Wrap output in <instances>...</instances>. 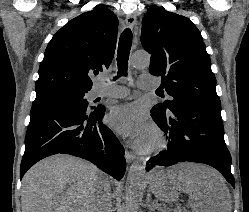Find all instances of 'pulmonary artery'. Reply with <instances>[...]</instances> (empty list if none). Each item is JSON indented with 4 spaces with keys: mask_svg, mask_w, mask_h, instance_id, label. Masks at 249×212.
I'll use <instances>...</instances> for the list:
<instances>
[{
    "mask_svg": "<svg viewBox=\"0 0 249 212\" xmlns=\"http://www.w3.org/2000/svg\"><path fill=\"white\" fill-rule=\"evenodd\" d=\"M144 77H146V75H142L138 79L139 88L142 90H148L157 86V84L153 82L148 84L143 83L142 79ZM128 93L129 90L126 87L112 83L105 75H99L97 77V82L90 91V96L92 99L97 97L122 98L126 97Z\"/></svg>",
    "mask_w": 249,
    "mask_h": 212,
    "instance_id": "pulmonary-artery-1",
    "label": "pulmonary artery"
}]
</instances>
